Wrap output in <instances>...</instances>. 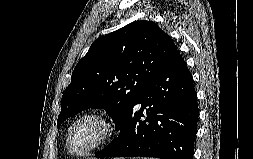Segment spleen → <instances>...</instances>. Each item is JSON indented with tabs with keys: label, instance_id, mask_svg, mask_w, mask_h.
Wrapping results in <instances>:
<instances>
[{
	"label": "spleen",
	"instance_id": "spleen-1",
	"mask_svg": "<svg viewBox=\"0 0 253 159\" xmlns=\"http://www.w3.org/2000/svg\"><path fill=\"white\" fill-rule=\"evenodd\" d=\"M142 159H156V158H142Z\"/></svg>",
	"mask_w": 253,
	"mask_h": 159
}]
</instances>
